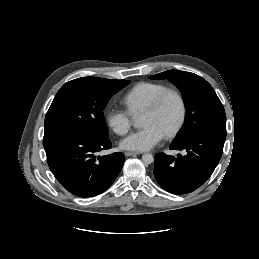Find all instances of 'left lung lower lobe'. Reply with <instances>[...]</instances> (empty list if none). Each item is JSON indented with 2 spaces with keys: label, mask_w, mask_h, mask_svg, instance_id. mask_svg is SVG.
Masks as SVG:
<instances>
[{
  "label": "left lung lower lobe",
  "mask_w": 259,
  "mask_h": 259,
  "mask_svg": "<svg viewBox=\"0 0 259 259\" xmlns=\"http://www.w3.org/2000/svg\"><path fill=\"white\" fill-rule=\"evenodd\" d=\"M226 131L204 129L191 134L170 149L186 150V155H155L154 176L158 184L172 194L190 193L211 176L223 152Z\"/></svg>",
  "instance_id": "0a47b994"
}]
</instances>
